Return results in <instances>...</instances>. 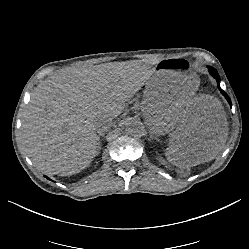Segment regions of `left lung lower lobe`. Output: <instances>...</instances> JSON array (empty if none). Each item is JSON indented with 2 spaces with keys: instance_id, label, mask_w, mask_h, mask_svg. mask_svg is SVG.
Wrapping results in <instances>:
<instances>
[{
  "instance_id": "left-lung-lower-lobe-1",
  "label": "left lung lower lobe",
  "mask_w": 249,
  "mask_h": 249,
  "mask_svg": "<svg viewBox=\"0 0 249 249\" xmlns=\"http://www.w3.org/2000/svg\"><path fill=\"white\" fill-rule=\"evenodd\" d=\"M209 72L210 74L216 79L217 81V85H218V88L220 90V92L223 94V96L227 99V101L229 102V104L231 105V100L230 98L228 97V95L220 88L219 86V83H220V77L216 71V69H214L213 67H209Z\"/></svg>"
}]
</instances>
